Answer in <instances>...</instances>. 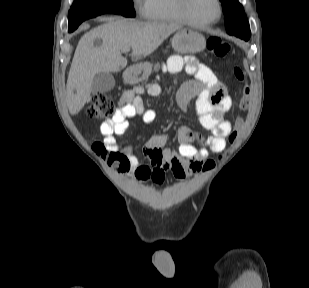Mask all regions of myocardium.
Here are the masks:
<instances>
[{
    "label": "myocardium",
    "mask_w": 309,
    "mask_h": 288,
    "mask_svg": "<svg viewBox=\"0 0 309 288\" xmlns=\"http://www.w3.org/2000/svg\"><path fill=\"white\" fill-rule=\"evenodd\" d=\"M189 2H190V0H178V5H179V9H180V12L183 15V17L186 19V21L190 25H192L194 27L203 28V27L215 25L223 17L224 8H223V4H222L221 0H216L217 5H218V16H217V18L214 19V20H211V21H206V22L199 21V20H197L193 17V15L190 12Z\"/></svg>",
    "instance_id": "obj_1"
}]
</instances>
